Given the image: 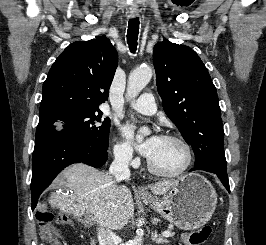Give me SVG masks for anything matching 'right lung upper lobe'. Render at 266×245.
<instances>
[{"instance_id":"obj_1","label":"right lung upper lobe","mask_w":266,"mask_h":245,"mask_svg":"<svg viewBox=\"0 0 266 245\" xmlns=\"http://www.w3.org/2000/svg\"><path fill=\"white\" fill-rule=\"evenodd\" d=\"M118 57L105 35L70 44L43 84L40 121L62 112L98 108L108 98Z\"/></svg>"}]
</instances>
